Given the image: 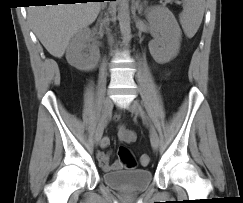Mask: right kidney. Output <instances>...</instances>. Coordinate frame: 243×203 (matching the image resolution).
<instances>
[{
	"label": "right kidney",
	"instance_id": "right-kidney-1",
	"mask_svg": "<svg viewBox=\"0 0 243 203\" xmlns=\"http://www.w3.org/2000/svg\"><path fill=\"white\" fill-rule=\"evenodd\" d=\"M91 30L83 28L79 30L72 38L67 52L66 59L70 65L82 71L94 69L99 61L100 54L98 50L89 49Z\"/></svg>",
	"mask_w": 243,
	"mask_h": 203
}]
</instances>
